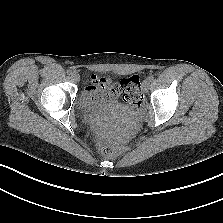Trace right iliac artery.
<instances>
[{"mask_svg": "<svg viewBox=\"0 0 223 223\" xmlns=\"http://www.w3.org/2000/svg\"><path fill=\"white\" fill-rule=\"evenodd\" d=\"M67 74H68V75H71V74H72V70H70V69L67 70Z\"/></svg>", "mask_w": 223, "mask_h": 223, "instance_id": "82829eb1", "label": "right iliac artery"}]
</instances>
